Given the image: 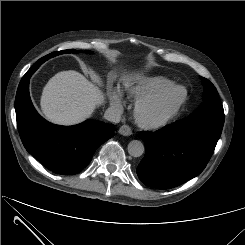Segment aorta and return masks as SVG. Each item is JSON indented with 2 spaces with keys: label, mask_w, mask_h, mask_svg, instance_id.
<instances>
[{
  "label": "aorta",
  "mask_w": 245,
  "mask_h": 245,
  "mask_svg": "<svg viewBox=\"0 0 245 245\" xmlns=\"http://www.w3.org/2000/svg\"><path fill=\"white\" fill-rule=\"evenodd\" d=\"M128 153L133 157H140L144 153V145L139 140H132L128 144Z\"/></svg>",
  "instance_id": "aorta-1"
}]
</instances>
